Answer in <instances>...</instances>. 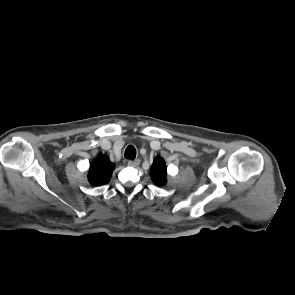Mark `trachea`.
<instances>
[{"instance_id":"obj_1","label":"trachea","mask_w":295,"mask_h":295,"mask_svg":"<svg viewBox=\"0 0 295 295\" xmlns=\"http://www.w3.org/2000/svg\"><path fill=\"white\" fill-rule=\"evenodd\" d=\"M136 157V149L133 145H129L125 150V158L134 160Z\"/></svg>"}]
</instances>
